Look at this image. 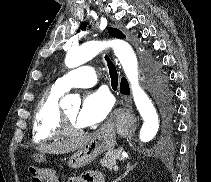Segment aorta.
Instances as JSON below:
<instances>
[{
    "instance_id": "1",
    "label": "aorta",
    "mask_w": 211,
    "mask_h": 182,
    "mask_svg": "<svg viewBox=\"0 0 211 182\" xmlns=\"http://www.w3.org/2000/svg\"><path fill=\"white\" fill-rule=\"evenodd\" d=\"M109 47L113 49L123 67L131 86L135 105L144 121L139 138L142 142H149L159 129V116L152 101L139 86L138 61L132 47L127 42L120 39L86 42L67 53L65 64L68 68L78 67ZM72 99V95H67L63 102H70Z\"/></svg>"
}]
</instances>
